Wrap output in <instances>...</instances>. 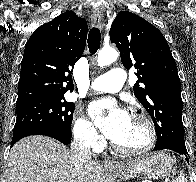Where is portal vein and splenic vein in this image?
<instances>
[{"instance_id": "18ae733b", "label": "portal vein and splenic vein", "mask_w": 196, "mask_h": 182, "mask_svg": "<svg viewBox=\"0 0 196 182\" xmlns=\"http://www.w3.org/2000/svg\"><path fill=\"white\" fill-rule=\"evenodd\" d=\"M143 182H151L150 180H145V181H143Z\"/></svg>"}]
</instances>
